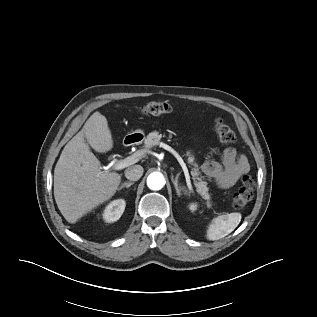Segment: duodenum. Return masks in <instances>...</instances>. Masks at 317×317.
<instances>
[{
	"mask_svg": "<svg viewBox=\"0 0 317 317\" xmlns=\"http://www.w3.org/2000/svg\"><path fill=\"white\" fill-rule=\"evenodd\" d=\"M139 140L138 135H130L125 138L124 144L125 146H131Z\"/></svg>",
	"mask_w": 317,
	"mask_h": 317,
	"instance_id": "1",
	"label": "duodenum"
}]
</instances>
